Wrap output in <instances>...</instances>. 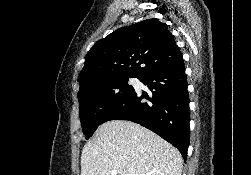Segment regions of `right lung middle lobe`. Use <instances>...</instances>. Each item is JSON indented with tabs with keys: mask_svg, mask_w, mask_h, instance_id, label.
<instances>
[{
	"mask_svg": "<svg viewBox=\"0 0 251 175\" xmlns=\"http://www.w3.org/2000/svg\"><path fill=\"white\" fill-rule=\"evenodd\" d=\"M129 78L132 76H123L106 84L79 89V117L86 139L102 124L104 115L134 91L128 84Z\"/></svg>",
	"mask_w": 251,
	"mask_h": 175,
	"instance_id": "right-lung-middle-lobe-1",
	"label": "right lung middle lobe"
}]
</instances>
